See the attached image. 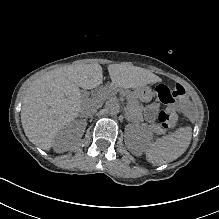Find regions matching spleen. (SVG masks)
I'll list each match as a JSON object with an SVG mask.
<instances>
[{"label": "spleen", "instance_id": "1", "mask_svg": "<svg viewBox=\"0 0 219 219\" xmlns=\"http://www.w3.org/2000/svg\"><path fill=\"white\" fill-rule=\"evenodd\" d=\"M192 138L191 127H181L175 132L146 142L142 145L147 161L154 165L172 162L180 157L188 148Z\"/></svg>", "mask_w": 219, "mask_h": 219}]
</instances>
